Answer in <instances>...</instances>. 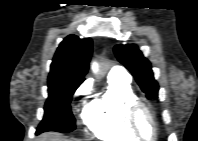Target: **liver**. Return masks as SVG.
<instances>
[{
  "instance_id": "obj_1",
  "label": "liver",
  "mask_w": 198,
  "mask_h": 141,
  "mask_svg": "<svg viewBox=\"0 0 198 141\" xmlns=\"http://www.w3.org/2000/svg\"><path fill=\"white\" fill-rule=\"evenodd\" d=\"M41 141H67L57 133H45L41 136Z\"/></svg>"
}]
</instances>
